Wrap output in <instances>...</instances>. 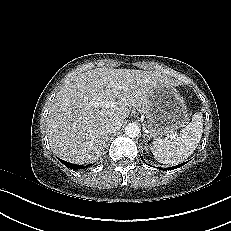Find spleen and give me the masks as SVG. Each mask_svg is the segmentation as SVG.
Here are the masks:
<instances>
[{"label": "spleen", "instance_id": "spleen-1", "mask_svg": "<svg viewBox=\"0 0 231 231\" xmlns=\"http://www.w3.org/2000/svg\"><path fill=\"white\" fill-rule=\"evenodd\" d=\"M203 133V116L200 112L193 115L179 133L171 134L165 139L157 138L153 142L154 158L163 164L175 165L191 156L197 148Z\"/></svg>", "mask_w": 231, "mask_h": 231}]
</instances>
